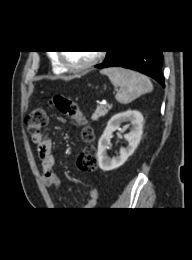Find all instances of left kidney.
Listing matches in <instances>:
<instances>
[{
  "label": "left kidney",
  "mask_w": 192,
  "mask_h": 260,
  "mask_svg": "<svg viewBox=\"0 0 192 260\" xmlns=\"http://www.w3.org/2000/svg\"><path fill=\"white\" fill-rule=\"evenodd\" d=\"M143 115L139 111L128 110L111 117L98 142V164L103 171H110L123 165L129 156L136 150L143 133ZM122 122H130L132 128L124 137L128 146L120 151L118 156L110 158L107 156L112 133L119 129Z\"/></svg>",
  "instance_id": "obj_1"
}]
</instances>
